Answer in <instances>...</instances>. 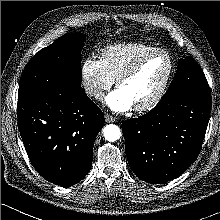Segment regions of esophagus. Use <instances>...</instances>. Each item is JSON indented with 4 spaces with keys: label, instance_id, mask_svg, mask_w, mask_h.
I'll list each match as a JSON object with an SVG mask.
<instances>
[{
    "label": "esophagus",
    "instance_id": "obj_1",
    "mask_svg": "<svg viewBox=\"0 0 220 220\" xmlns=\"http://www.w3.org/2000/svg\"><path fill=\"white\" fill-rule=\"evenodd\" d=\"M105 121L107 122V123H111V122H114L115 121V118L113 117V116H111V115H109V114H105Z\"/></svg>",
    "mask_w": 220,
    "mask_h": 220
}]
</instances>
